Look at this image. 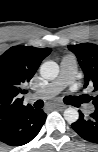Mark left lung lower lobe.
Here are the masks:
<instances>
[{
    "label": "left lung lower lobe",
    "mask_w": 98,
    "mask_h": 152,
    "mask_svg": "<svg viewBox=\"0 0 98 152\" xmlns=\"http://www.w3.org/2000/svg\"><path fill=\"white\" fill-rule=\"evenodd\" d=\"M71 128L87 141H98V109L85 116L79 111V118L71 124Z\"/></svg>",
    "instance_id": "1"
}]
</instances>
